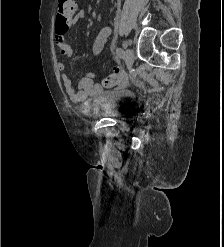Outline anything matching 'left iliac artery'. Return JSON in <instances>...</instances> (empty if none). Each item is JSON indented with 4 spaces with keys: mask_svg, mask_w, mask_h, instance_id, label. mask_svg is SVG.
<instances>
[{
    "mask_svg": "<svg viewBox=\"0 0 224 247\" xmlns=\"http://www.w3.org/2000/svg\"><path fill=\"white\" fill-rule=\"evenodd\" d=\"M116 54L120 58H123L124 57V51L121 48H117L116 49Z\"/></svg>",
    "mask_w": 224,
    "mask_h": 247,
    "instance_id": "left-iliac-artery-1",
    "label": "left iliac artery"
}]
</instances>
